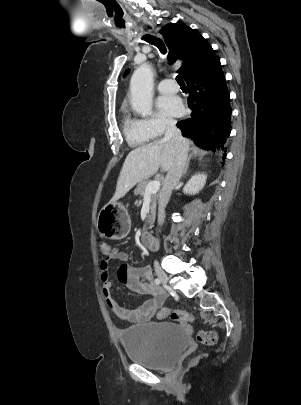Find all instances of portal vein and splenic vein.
<instances>
[{
  "instance_id": "18ae733b",
  "label": "portal vein and splenic vein",
  "mask_w": 301,
  "mask_h": 405,
  "mask_svg": "<svg viewBox=\"0 0 301 405\" xmlns=\"http://www.w3.org/2000/svg\"><path fill=\"white\" fill-rule=\"evenodd\" d=\"M160 182L159 181H151L149 182V184L147 185L146 189H145V194H155L158 192V190L160 189Z\"/></svg>"
}]
</instances>
